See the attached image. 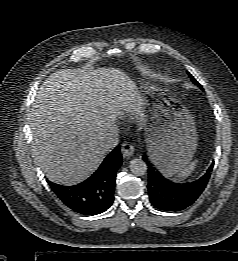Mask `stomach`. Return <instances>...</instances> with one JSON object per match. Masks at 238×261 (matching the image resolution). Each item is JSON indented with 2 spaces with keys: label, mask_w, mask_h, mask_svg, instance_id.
<instances>
[{
  "label": "stomach",
  "mask_w": 238,
  "mask_h": 261,
  "mask_svg": "<svg viewBox=\"0 0 238 261\" xmlns=\"http://www.w3.org/2000/svg\"><path fill=\"white\" fill-rule=\"evenodd\" d=\"M150 159L165 175L181 171L197 147V130L191 112L171 92L151 93L140 105Z\"/></svg>",
  "instance_id": "obj_1"
}]
</instances>
